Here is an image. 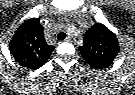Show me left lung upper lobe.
<instances>
[{
    "mask_svg": "<svg viewBox=\"0 0 135 95\" xmlns=\"http://www.w3.org/2000/svg\"><path fill=\"white\" fill-rule=\"evenodd\" d=\"M79 47L84 60L95 69L108 67L119 53V42L106 26L95 23L89 28Z\"/></svg>",
    "mask_w": 135,
    "mask_h": 95,
    "instance_id": "left-lung-upper-lobe-1",
    "label": "left lung upper lobe"
}]
</instances>
